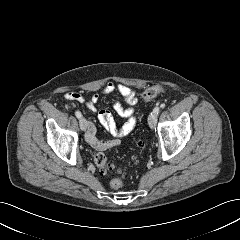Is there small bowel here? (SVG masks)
I'll return each instance as SVG.
<instances>
[{
    "instance_id": "c3829d8e",
    "label": "small bowel",
    "mask_w": 240,
    "mask_h": 240,
    "mask_svg": "<svg viewBox=\"0 0 240 240\" xmlns=\"http://www.w3.org/2000/svg\"><path fill=\"white\" fill-rule=\"evenodd\" d=\"M114 92H118L123 101L129 105V107H124L118 100L113 103L114 112L127 119L122 126L117 125L109 110L97 108L100 100L99 93L93 94L89 99H86L79 92H68L65 95L66 100L84 103L89 110L96 112L99 124L111 134L112 139L100 140L96 137V126L94 122H87L86 140L94 149L99 151H105L118 146L121 139L129 135L136 125L134 105L137 103V96L135 90L126 84L113 82L106 83L101 89V94L104 95H109Z\"/></svg>"
}]
</instances>
